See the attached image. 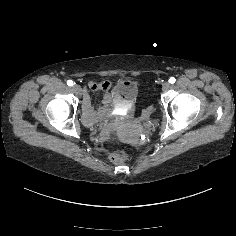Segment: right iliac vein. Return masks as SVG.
I'll return each instance as SVG.
<instances>
[{"mask_svg": "<svg viewBox=\"0 0 236 236\" xmlns=\"http://www.w3.org/2000/svg\"><path fill=\"white\" fill-rule=\"evenodd\" d=\"M72 89L77 95H79V96L82 95V88L79 85H74L72 87Z\"/></svg>", "mask_w": 236, "mask_h": 236, "instance_id": "1", "label": "right iliac vein"}]
</instances>
